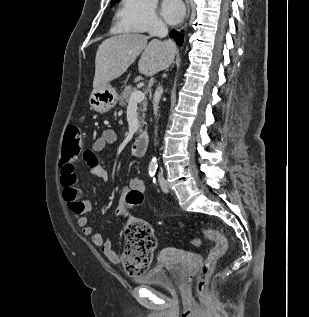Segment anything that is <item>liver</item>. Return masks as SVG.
<instances>
[{
    "label": "liver",
    "mask_w": 309,
    "mask_h": 317,
    "mask_svg": "<svg viewBox=\"0 0 309 317\" xmlns=\"http://www.w3.org/2000/svg\"><path fill=\"white\" fill-rule=\"evenodd\" d=\"M142 34L126 33L110 37L99 46L95 59L93 88L97 89L120 77L141 54L138 70L153 76L174 61L176 45L171 40H152Z\"/></svg>",
    "instance_id": "1"
}]
</instances>
